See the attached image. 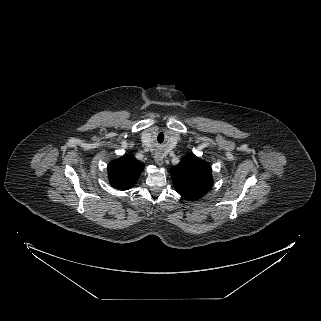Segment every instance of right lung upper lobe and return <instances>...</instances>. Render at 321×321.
<instances>
[{
  "label": "right lung upper lobe",
  "mask_w": 321,
  "mask_h": 321,
  "mask_svg": "<svg viewBox=\"0 0 321 321\" xmlns=\"http://www.w3.org/2000/svg\"><path fill=\"white\" fill-rule=\"evenodd\" d=\"M144 165L130 155L113 160L108 166L111 185L118 190H128L135 185Z\"/></svg>",
  "instance_id": "right-lung-upper-lobe-1"
}]
</instances>
